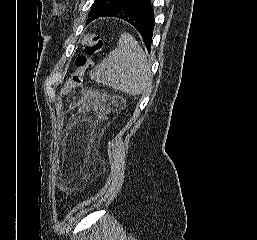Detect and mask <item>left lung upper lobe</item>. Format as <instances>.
Wrapping results in <instances>:
<instances>
[{
  "mask_svg": "<svg viewBox=\"0 0 257 240\" xmlns=\"http://www.w3.org/2000/svg\"><path fill=\"white\" fill-rule=\"evenodd\" d=\"M119 1L120 0H95L91 6L89 21L87 23L101 17L108 9L116 5Z\"/></svg>",
  "mask_w": 257,
  "mask_h": 240,
  "instance_id": "left-lung-upper-lobe-1",
  "label": "left lung upper lobe"
}]
</instances>
